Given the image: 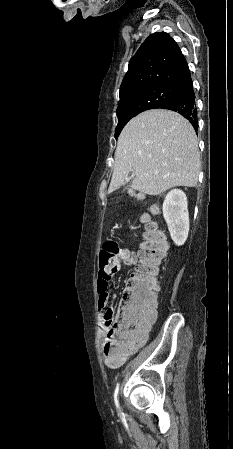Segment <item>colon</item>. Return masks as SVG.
Listing matches in <instances>:
<instances>
[{
	"instance_id": "obj_1",
	"label": "colon",
	"mask_w": 233,
	"mask_h": 449,
	"mask_svg": "<svg viewBox=\"0 0 233 449\" xmlns=\"http://www.w3.org/2000/svg\"><path fill=\"white\" fill-rule=\"evenodd\" d=\"M156 206H151L152 213L157 212ZM147 222V232L142 248L139 251L140 265L131 275L129 284L123 291V306L121 319H116L108 310L104 315L107 327L106 342L103 347L105 361L110 365H120L125 359L127 344L130 343L138 330L139 322L145 323L157 313V292L159 266L165 256L166 237L157 229L156 224ZM121 255H127V250L120 248L114 241L105 242L100 252L98 293L108 292V270L115 268ZM126 340L124 346L117 344V337Z\"/></svg>"
}]
</instances>
